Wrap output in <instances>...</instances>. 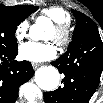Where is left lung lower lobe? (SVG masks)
Listing matches in <instances>:
<instances>
[{
  "mask_svg": "<svg viewBox=\"0 0 103 103\" xmlns=\"http://www.w3.org/2000/svg\"><path fill=\"white\" fill-rule=\"evenodd\" d=\"M52 65L65 75L64 86L45 92V103H88L103 71V42L99 32H89Z\"/></svg>",
  "mask_w": 103,
  "mask_h": 103,
  "instance_id": "left-lung-lower-lobe-1",
  "label": "left lung lower lobe"
}]
</instances>
